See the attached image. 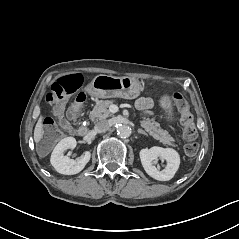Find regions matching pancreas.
<instances>
[{"label":"pancreas","instance_id":"1","mask_svg":"<svg viewBox=\"0 0 239 239\" xmlns=\"http://www.w3.org/2000/svg\"><path fill=\"white\" fill-rule=\"evenodd\" d=\"M114 103V100H98L93 110L89 114V118L93 122L98 120L106 119L112 115L109 110L110 105ZM141 126L156 140H159L163 144L170 146H176L174 138L168 133L167 130H164L160 127V124L152 119H144L141 121Z\"/></svg>","mask_w":239,"mask_h":239}]
</instances>
